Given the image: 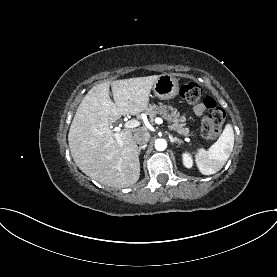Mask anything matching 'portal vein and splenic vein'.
Returning <instances> with one entry per match:
<instances>
[{"mask_svg": "<svg viewBox=\"0 0 277 277\" xmlns=\"http://www.w3.org/2000/svg\"><path fill=\"white\" fill-rule=\"evenodd\" d=\"M155 123H157V124H162V123H163L162 118H160V117L155 118ZM140 124H141V123H140L138 120L132 119V120L127 121V122L124 124V127H125L126 129H132V128H135V127L140 126ZM115 136H116V137H119V134L116 133ZM187 136H188V135H187Z\"/></svg>", "mask_w": 277, "mask_h": 277, "instance_id": "portal-vein-and-splenic-vein-1", "label": "portal vein and splenic vein"}]
</instances>
